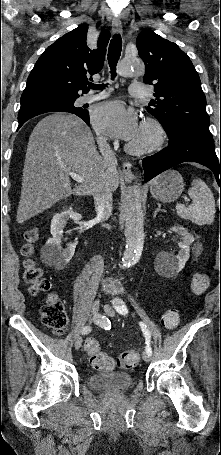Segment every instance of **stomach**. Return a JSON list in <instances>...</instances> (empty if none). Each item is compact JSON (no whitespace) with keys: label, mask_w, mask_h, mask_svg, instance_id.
<instances>
[{"label":"stomach","mask_w":221,"mask_h":455,"mask_svg":"<svg viewBox=\"0 0 221 455\" xmlns=\"http://www.w3.org/2000/svg\"><path fill=\"white\" fill-rule=\"evenodd\" d=\"M184 189L182 175L176 170H168L157 176L150 185L152 196L161 202L175 201Z\"/></svg>","instance_id":"1"}]
</instances>
